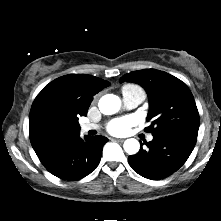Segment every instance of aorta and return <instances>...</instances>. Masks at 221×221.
I'll return each instance as SVG.
<instances>
[{
    "mask_svg": "<svg viewBox=\"0 0 221 221\" xmlns=\"http://www.w3.org/2000/svg\"><path fill=\"white\" fill-rule=\"evenodd\" d=\"M98 106L101 113L105 115H112L119 111L121 107V100L116 95L107 94L100 98ZM123 148L126 153L133 155L139 151L140 144L137 139L130 138L125 140Z\"/></svg>",
    "mask_w": 221,
    "mask_h": 221,
    "instance_id": "1",
    "label": "aorta"
}]
</instances>
